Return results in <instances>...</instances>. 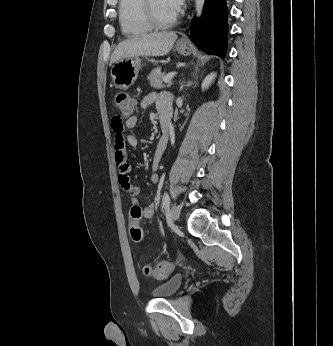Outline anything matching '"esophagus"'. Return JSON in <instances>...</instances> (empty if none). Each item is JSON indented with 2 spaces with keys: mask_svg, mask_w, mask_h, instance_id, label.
<instances>
[{
  "mask_svg": "<svg viewBox=\"0 0 333 346\" xmlns=\"http://www.w3.org/2000/svg\"><path fill=\"white\" fill-rule=\"evenodd\" d=\"M188 39H187V37L186 36H182L181 38H180V41H187Z\"/></svg>",
  "mask_w": 333,
  "mask_h": 346,
  "instance_id": "34e87169",
  "label": "esophagus"
}]
</instances>
